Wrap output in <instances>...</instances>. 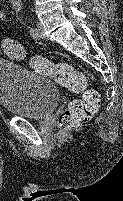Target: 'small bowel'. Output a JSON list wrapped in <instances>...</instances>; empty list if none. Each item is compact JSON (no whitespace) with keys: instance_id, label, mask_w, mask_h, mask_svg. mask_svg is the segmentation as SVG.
Here are the masks:
<instances>
[{"instance_id":"1","label":"small bowel","mask_w":123,"mask_h":201,"mask_svg":"<svg viewBox=\"0 0 123 201\" xmlns=\"http://www.w3.org/2000/svg\"><path fill=\"white\" fill-rule=\"evenodd\" d=\"M6 20V14L0 10V22H4ZM2 33V30H0V34Z\"/></svg>"}]
</instances>
